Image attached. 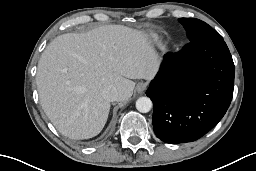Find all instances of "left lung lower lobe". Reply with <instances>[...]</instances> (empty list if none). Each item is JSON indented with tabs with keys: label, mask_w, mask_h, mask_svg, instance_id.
I'll return each instance as SVG.
<instances>
[{
	"label": "left lung lower lobe",
	"mask_w": 256,
	"mask_h": 171,
	"mask_svg": "<svg viewBox=\"0 0 256 171\" xmlns=\"http://www.w3.org/2000/svg\"><path fill=\"white\" fill-rule=\"evenodd\" d=\"M234 71L224 40H197L166 54L146 91L157 137L171 144L192 142L211 130L231 103Z\"/></svg>",
	"instance_id": "obj_1"
}]
</instances>
